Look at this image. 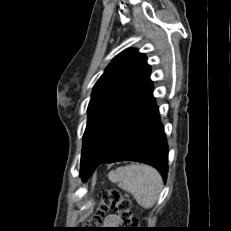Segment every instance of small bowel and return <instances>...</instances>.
I'll use <instances>...</instances> for the list:
<instances>
[{
    "instance_id": "c3829d8e",
    "label": "small bowel",
    "mask_w": 231,
    "mask_h": 231,
    "mask_svg": "<svg viewBox=\"0 0 231 231\" xmlns=\"http://www.w3.org/2000/svg\"><path fill=\"white\" fill-rule=\"evenodd\" d=\"M118 224H119V220H118L117 215L111 214L105 218L106 227H114V226H117Z\"/></svg>"
}]
</instances>
